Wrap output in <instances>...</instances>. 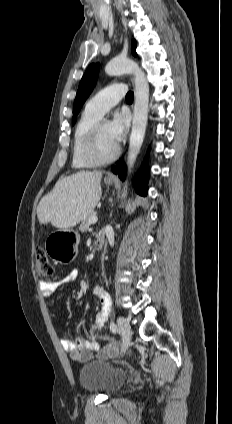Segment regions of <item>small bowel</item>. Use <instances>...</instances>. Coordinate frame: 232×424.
I'll list each match as a JSON object with an SVG mask.
<instances>
[{"instance_id":"obj_1","label":"small bowel","mask_w":232,"mask_h":424,"mask_svg":"<svg viewBox=\"0 0 232 424\" xmlns=\"http://www.w3.org/2000/svg\"><path fill=\"white\" fill-rule=\"evenodd\" d=\"M79 271L76 269L71 270L65 277L60 279L57 282L54 281H41L40 282V290L45 297H50L57 285L66 284L74 282L78 279ZM94 295L98 298L102 312L97 316L95 322L93 324L92 329L96 330L101 328L104 325L106 317L103 312V308L111 304L110 297L105 289L101 285H96L93 289ZM95 334L93 332L90 333L88 337L85 336H77L74 339L65 337L62 340V346L64 350L76 361L79 362H87L94 357L96 353L97 356L103 358H109L117 355L119 352V347L110 348L109 345L105 347H100V345L95 341ZM117 344V343H116ZM117 346V345H116Z\"/></svg>"}]
</instances>
